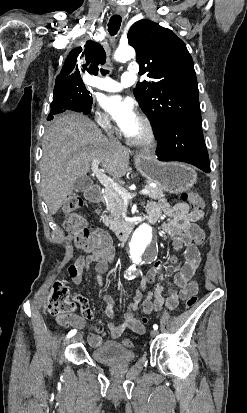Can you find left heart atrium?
<instances>
[{"mask_svg": "<svg viewBox=\"0 0 247 413\" xmlns=\"http://www.w3.org/2000/svg\"><path fill=\"white\" fill-rule=\"evenodd\" d=\"M101 104L109 113L117 117L125 136L130 137L141 126L142 118L132 100L120 95H108L101 98Z\"/></svg>", "mask_w": 247, "mask_h": 413, "instance_id": "39dd6f15", "label": "left heart atrium"}]
</instances>
